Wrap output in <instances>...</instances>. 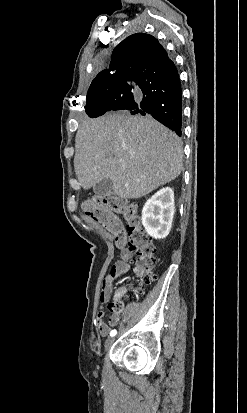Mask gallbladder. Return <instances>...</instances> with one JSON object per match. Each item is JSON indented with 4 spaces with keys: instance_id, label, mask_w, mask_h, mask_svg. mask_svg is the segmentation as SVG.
I'll return each mask as SVG.
<instances>
[{
    "instance_id": "obj_1",
    "label": "gallbladder",
    "mask_w": 247,
    "mask_h": 413,
    "mask_svg": "<svg viewBox=\"0 0 247 413\" xmlns=\"http://www.w3.org/2000/svg\"><path fill=\"white\" fill-rule=\"evenodd\" d=\"M93 190L97 196H111L112 194V180L110 178H103L93 186Z\"/></svg>"
}]
</instances>
